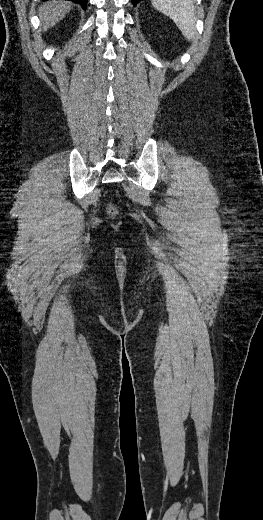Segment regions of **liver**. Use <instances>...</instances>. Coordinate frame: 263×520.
<instances>
[{
  "label": "liver",
  "mask_w": 263,
  "mask_h": 520,
  "mask_svg": "<svg viewBox=\"0 0 263 520\" xmlns=\"http://www.w3.org/2000/svg\"><path fill=\"white\" fill-rule=\"evenodd\" d=\"M72 4L65 0L47 1L38 8L39 17L41 19V28L47 31L62 20L71 10Z\"/></svg>",
  "instance_id": "1"
}]
</instances>
